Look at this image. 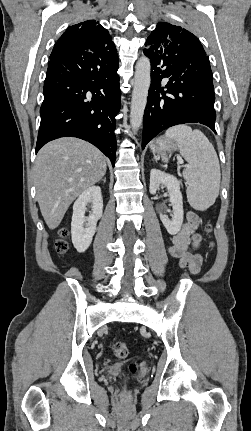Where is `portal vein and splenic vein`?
Wrapping results in <instances>:
<instances>
[{"label": "portal vein and splenic vein", "instance_id": "obj_1", "mask_svg": "<svg viewBox=\"0 0 251 431\" xmlns=\"http://www.w3.org/2000/svg\"><path fill=\"white\" fill-rule=\"evenodd\" d=\"M181 161V163H183L182 159H179Z\"/></svg>", "mask_w": 251, "mask_h": 431}]
</instances>
